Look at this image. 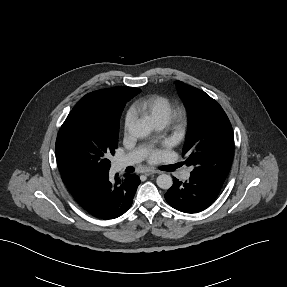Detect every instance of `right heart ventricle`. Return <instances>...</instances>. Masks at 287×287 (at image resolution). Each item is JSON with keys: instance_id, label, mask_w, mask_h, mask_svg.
<instances>
[{"instance_id": "e07e8e85", "label": "right heart ventricle", "mask_w": 287, "mask_h": 287, "mask_svg": "<svg viewBox=\"0 0 287 287\" xmlns=\"http://www.w3.org/2000/svg\"><path fill=\"white\" fill-rule=\"evenodd\" d=\"M173 110L169 98L161 95H149L133 104L132 111L148 119L153 125L166 126Z\"/></svg>"}]
</instances>
